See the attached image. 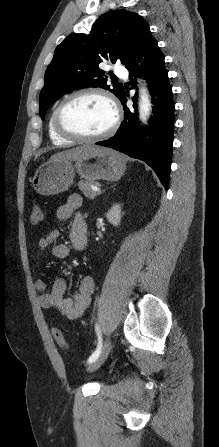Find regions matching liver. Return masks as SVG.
<instances>
[{
	"label": "liver",
	"instance_id": "obj_1",
	"mask_svg": "<svg viewBox=\"0 0 219 447\" xmlns=\"http://www.w3.org/2000/svg\"><path fill=\"white\" fill-rule=\"evenodd\" d=\"M102 147L92 145H82L72 149L58 152L51 156L50 161H77L90 157L91 155L99 152Z\"/></svg>",
	"mask_w": 219,
	"mask_h": 447
}]
</instances>
